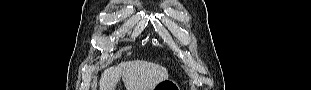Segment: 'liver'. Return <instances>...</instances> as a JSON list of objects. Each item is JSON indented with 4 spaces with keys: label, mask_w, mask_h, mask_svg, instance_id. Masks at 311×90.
Listing matches in <instances>:
<instances>
[{
    "label": "liver",
    "mask_w": 311,
    "mask_h": 90,
    "mask_svg": "<svg viewBox=\"0 0 311 90\" xmlns=\"http://www.w3.org/2000/svg\"><path fill=\"white\" fill-rule=\"evenodd\" d=\"M168 77L167 69L159 64L143 60L126 61L102 73L100 90H115L121 78L126 90H154Z\"/></svg>",
    "instance_id": "liver-1"
}]
</instances>
